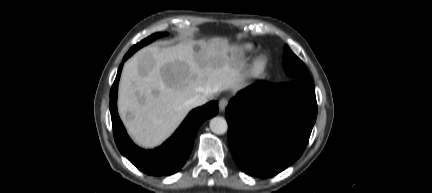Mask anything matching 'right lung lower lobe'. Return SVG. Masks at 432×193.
I'll return each mask as SVG.
<instances>
[{
    "mask_svg": "<svg viewBox=\"0 0 432 193\" xmlns=\"http://www.w3.org/2000/svg\"><path fill=\"white\" fill-rule=\"evenodd\" d=\"M131 55L126 54L123 62ZM123 63L110 92V113L114 139L120 152L139 170L154 176L171 175L178 172L188 159L198 128L204 120L218 112L217 101L192 110L175 133L160 147L144 150L137 147L128 137L117 112V90Z\"/></svg>",
    "mask_w": 432,
    "mask_h": 193,
    "instance_id": "obj_1",
    "label": "right lung lower lobe"
}]
</instances>
